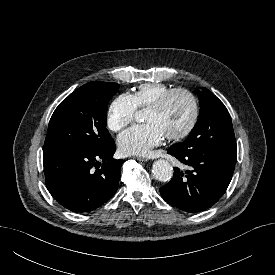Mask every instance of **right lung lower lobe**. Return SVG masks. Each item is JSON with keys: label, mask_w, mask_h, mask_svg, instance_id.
<instances>
[{"label": "right lung lower lobe", "mask_w": 275, "mask_h": 275, "mask_svg": "<svg viewBox=\"0 0 275 275\" xmlns=\"http://www.w3.org/2000/svg\"><path fill=\"white\" fill-rule=\"evenodd\" d=\"M114 153L113 140L97 151L43 149L48 191L73 212H89L102 206L116 192L124 163L123 159H113Z\"/></svg>", "instance_id": "98d812e1"}]
</instances>
